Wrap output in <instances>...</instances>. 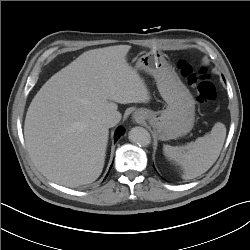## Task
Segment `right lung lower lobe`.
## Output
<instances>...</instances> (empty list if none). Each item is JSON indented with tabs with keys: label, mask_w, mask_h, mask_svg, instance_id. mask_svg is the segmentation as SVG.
I'll use <instances>...</instances> for the list:
<instances>
[{
	"label": "right lung lower lobe",
	"mask_w": 250,
	"mask_h": 250,
	"mask_svg": "<svg viewBox=\"0 0 250 250\" xmlns=\"http://www.w3.org/2000/svg\"><path fill=\"white\" fill-rule=\"evenodd\" d=\"M125 132V129L123 127H119L117 130H116V133H115V142L117 141V139Z\"/></svg>",
	"instance_id": "98d812e1"
}]
</instances>
